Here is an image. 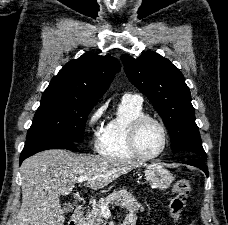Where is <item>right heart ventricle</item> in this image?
<instances>
[{
    "label": "right heart ventricle",
    "mask_w": 228,
    "mask_h": 225,
    "mask_svg": "<svg viewBox=\"0 0 228 225\" xmlns=\"http://www.w3.org/2000/svg\"><path fill=\"white\" fill-rule=\"evenodd\" d=\"M143 115H146L143 105L121 101L115 118L106 125L97 140L99 153L111 158H137L129 144V131L132 122Z\"/></svg>",
    "instance_id": "1"
}]
</instances>
